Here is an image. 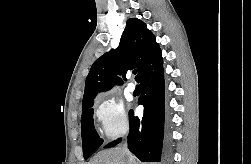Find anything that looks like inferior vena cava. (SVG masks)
Masks as SVG:
<instances>
[{
  "label": "inferior vena cava",
  "instance_id": "602c4592",
  "mask_svg": "<svg viewBox=\"0 0 251 164\" xmlns=\"http://www.w3.org/2000/svg\"><path fill=\"white\" fill-rule=\"evenodd\" d=\"M124 150H127V147L126 146H124V148H123Z\"/></svg>",
  "mask_w": 251,
  "mask_h": 164
}]
</instances>
